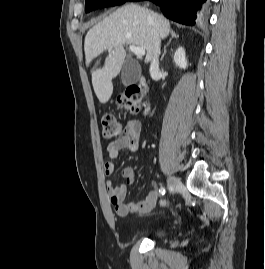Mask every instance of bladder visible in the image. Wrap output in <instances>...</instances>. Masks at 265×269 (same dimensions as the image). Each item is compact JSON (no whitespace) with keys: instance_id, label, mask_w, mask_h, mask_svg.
<instances>
[{"instance_id":"bladder-1","label":"bladder","mask_w":265,"mask_h":269,"mask_svg":"<svg viewBox=\"0 0 265 269\" xmlns=\"http://www.w3.org/2000/svg\"><path fill=\"white\" fill-rule=\"evenodd\" d=\"M165 235H166V233L164 231L160 230L157 232L156 237L159 239H162L165 237Z\"/></svg>"}]
</instances>
